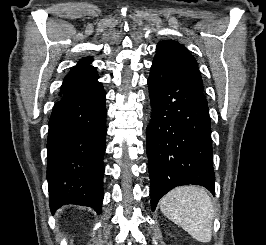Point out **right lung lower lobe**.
Wrapping results in <instances>:
<instances>
[{
	"instance_id": "1",
	"label": "right lung lower lobe",
	"mask_w": 266,
	"mask_h": 245,
	"mask_svg": "<svg viewBox=\"0 0 266 245\" xmlns=\"http://www.w3.org/2000/svg\"><path fill=\"white\" fill-rule=\"evenodd\" d=\"M105 91L98 81L60 96L49 120L47 180L50 209L65 204L101 213L105 153Z\"/></svg>"
}]
</instances>
